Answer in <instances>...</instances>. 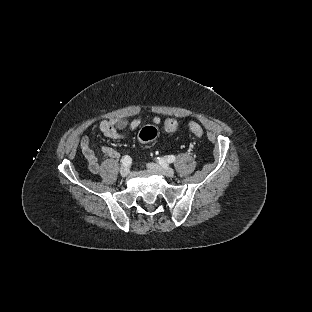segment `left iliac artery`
I'll return each mask as SVG.
<instances>
[{
	"label": "left iliac artery",
	"mask_w": 312,
	"mask_h": 312,
	"mask_svg": "<svg viewBox=\"0 0 312 312\" xmlns=\"http://www.w3.org/2000/svg\"><path fill=\"white\" fill-rule=\"evenodd\" d=\"M157 159H158L159 163L161 165H163L164 162H168V163L174 162L176 160V157L174 155H169V156H166L164 158H157Z\"/></svg>",
	"instance_id": "left-iliac-artery-1"
}]
</instances>
